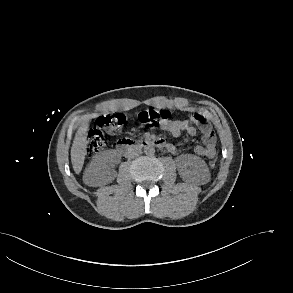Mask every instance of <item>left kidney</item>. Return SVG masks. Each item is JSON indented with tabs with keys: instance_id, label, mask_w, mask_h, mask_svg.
I'll return each instance as SVG.
<instances>
[{
	"instance_id": "obj_1",
	"label": "left kidney",
	"mask_w": 293,
	"mask_h": 293,
	"mask_svg": "<svg viewBox=\"0 0 293 293\" xmlns=\"http://www.w3.org/2000/svg\"><path fill=\"white\" fill-rule=\"evenodd\" d=\"M177 168L180 177L185 181L204 182L210 177L205 161L192 154H183L177 159Z\"/></svg>"
}]
</instances>
